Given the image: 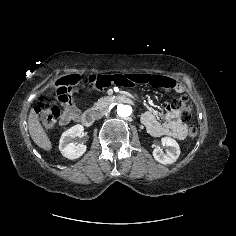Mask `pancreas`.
Wrapping results in <instances>:
<instances>
[{
    "mask_svg": "<svg viewBox=\"0 0 236 236\" xmlns=\"http://www.w3.org/2000/svg\"><path fill=\"white\" fill-rule=\"evenodd\" d=\"M110 103V97H102L95 104L93 109L98 110Z\"/></svg>",
    "mask_w": 236,
    "mask_h": 236,
    "instance_id": "1",
    "label": "pancreas"
}]
</instances>
